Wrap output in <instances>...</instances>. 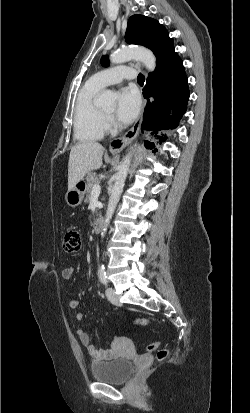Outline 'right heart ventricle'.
Here are the masks:
<instances>
[{
    "label": "right heart ventricle",
    "mask_w": 250,
    "mask_h": 413,
    "mask_svg": "<svg viewBox=\"0 0 250 413\" xmlns=\"http://www.w3.org/2000/svg\"><path fill=\"white\" fill-rule=\"evenodd\" d=\"M101 89L90 79L78 93L74 115V137L78 142L98 141L104 136L106 115L94 102Z\"/></svg>",
    "instance_id": "obj_1"
}]
</instances>
